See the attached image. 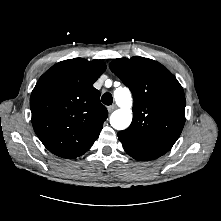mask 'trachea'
I'll return each mask as SVG.
<instances>
[{"mask_svg":"<svg viewBox=\"0 0 221 221\" xmlns=\"http://www.w3.org/2000/svg\"><path fill=\"white\" fill-rule=\"evenodd\" d=\"M113 102V97L110 93H105L102 96V103L105 105H111Z\"/></svg>","mask_w":221,"mask_h":221,"instance_id":"obj_1","label":"trachea"}]
</instances>
